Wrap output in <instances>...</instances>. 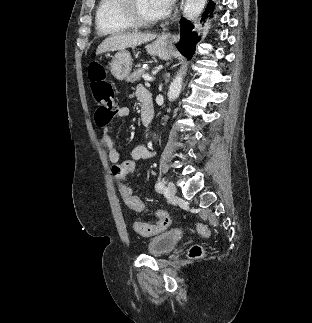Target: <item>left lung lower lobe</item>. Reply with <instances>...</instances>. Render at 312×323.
<instances>
[{
    "mask_svg": "<svg viewBox=\"0 0 312 323\" xmlns=\"http://www.w3.org/2000/svg\"><path fill=\"white\" fill-rule=\"evenodd\" d=\"M216 7V4L209 2L206 11L203 13L201 22H205V18L209 13H212ZM201 36L198 34L197 27L191 22L181 19L180 21V41L177 43L178 50L187 58H191L195 49L196 44L200 41Z\"/></svg>",
    "mask_w": 312,
    "mask_h": 323,
    "instance_id": "0a47b994",
    "label": "left lung lower lobe"
}]
</instances>
